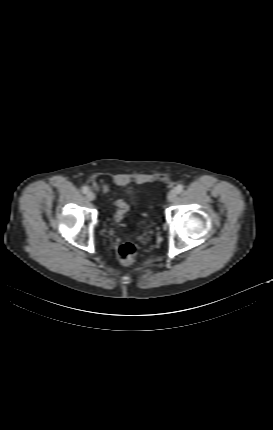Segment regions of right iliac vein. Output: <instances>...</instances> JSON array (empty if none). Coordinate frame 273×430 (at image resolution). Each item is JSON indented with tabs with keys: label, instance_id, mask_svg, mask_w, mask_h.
Returning a JSON list of instances; mask_svg holds the SVG:
<instances>
[{
	"label": "right iliac vein",
	"instance_id": "63e3f726",
	"mask_svg": "<svg viewBox=\"0 0 273 430\" xmlns=\"http://www.w3.org/2000/svg\"><path fill=\"white\" fill-rule=\"evenodd\" d=\"M86 197H87V199H88L89 201H92V200H94V199H95V194H94V192H92V191H88V192L86 193Z\"/></svg>",
	"mask_w": 273,
	"mask_h": 430
}]
</instances>
